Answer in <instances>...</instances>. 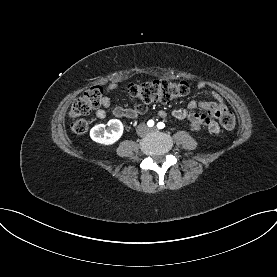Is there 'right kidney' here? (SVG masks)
<instances>
[{"mask_svg": "<svg viewBox=\"0 0 277 277\" xmlns=\"http://www.w3.org/2000/svg\"><path fill=\"white\" fill-rule=\"evenodd\" d=\"M106 125L98 124L90 130V137L93 141L104 144L112 145L117 142L123 134V124L118 119H111Z\"/></svg>", "mask_w": 277, "mask_h": 277, "instance_id": "right-kidney-1", "label": "right kidney"}]
</instances>
